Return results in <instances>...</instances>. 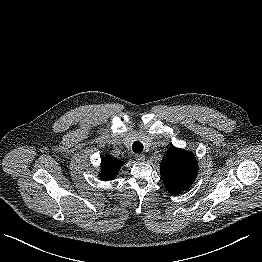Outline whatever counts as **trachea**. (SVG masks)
<instances>
[{"instance_id":"1","label":"trachea","mask_w":262,"mask_h":262,"mask_svg":"<svg viewBox=\"0 0 262 262\" xmlns=\"http://www.w3.org/2000/svg\"><path fill=\"white\" fill-rule=\"evenodd\" d=\"M132 150L135 153H141L143 151V144L141 142L135 141L132 145Z\"/></svg>"}]
</instances>
